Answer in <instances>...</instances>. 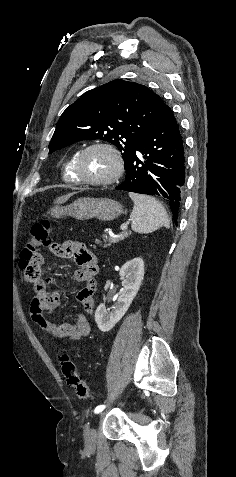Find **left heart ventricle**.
I'll return each mask as SVG.
<instances>
[{
    "label": "left heart ventricle",
    "mask_w": 236,
    "mask_h": 477,
    "mask_svg": "<svg viewBox=\"0 0 236 477\" xmlns=\"http://www.w3.org/2000/svg\"><path fill=\"white\" fill-rule=\"evenodd\" d=\"M113 170L114 162L112 157L102 149L88 151L80 164L81 175L92 180L108 177Z\"/></svg>",
    "instance_id": "1"
}]
</instances>
